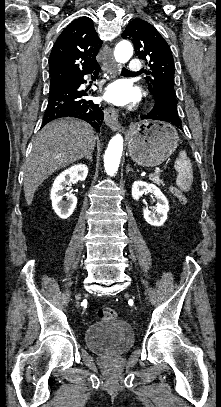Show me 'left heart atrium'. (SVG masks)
Returning a JSON list of instances; mask_svg holds the SVG:
<instances>
[{
	"label": "left heart atrium",
	"mask_w": 221,
	"mask_h": 407,
	"mask_svg": "<svg viewBox=\"0 0 221 407\" xmlns=\"http://www.w3.org/2000/svg\"><path fill=\"white\" fill-rule=\"evenodd\" d=\"M104 97L116 105L125 106L137 102L140 98V92L132 87L127 80L120 79L107 87Z\"/></svg>",
	"instance_id": "39dd6f15"
}]
</instances>
